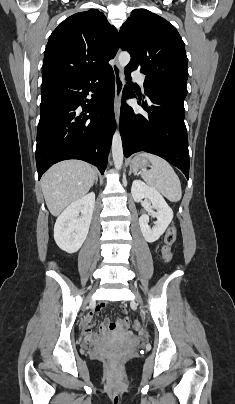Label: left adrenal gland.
I'll list each match as a JSON object with an SVG mask.
<instances>
[{"instance_id": "left-adrenal-gland-1", "label": "left adrenal gland", "mask_w": 235, "mask_h": 404, "mask_svg": "<svg viewBox=\"0 0 235 404\" xmlns=\"http://www.w3.org/2000/svg\"><path fill=\"white\" fill-rule=\"evenodd\" d=\"M132 172H133V171H132V169L130 168V170H129V175H131V174H132Z\"/></svg>"}]
</instances>
